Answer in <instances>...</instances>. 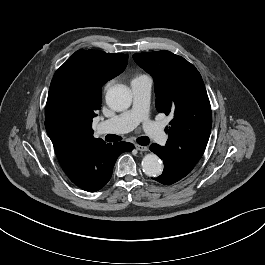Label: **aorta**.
Returning <instances> with one entry per match:
<instances>
[{"label":"aorta","instance_id":"762f6f07","mask_svg":"<svg viewBox=\"0 0 265 265\" xmlns=\"http://www.w3.org/2000/svg\"><path fill=\"white\" fill-rule=\"evenodd\" d=\"M132 95L130 89L122 84L110 87L106 93V103L114 111H123L130 107ZM143 172L149 177L161 175L163 166L160 158L153 154H147L142 159Z\"/></svg>","mask_w":265,"mask_h":265}]
</instances>
